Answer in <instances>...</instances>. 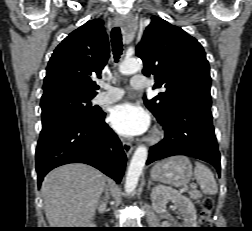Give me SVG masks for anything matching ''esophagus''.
Masks as SVG:
<instances>
[{"mask_svg":"<svg viewBox=\"0 0 252 231\" xmlns=\"http://www.w3.org/2000/svg\"><path fill=\"white\" fill-rule=\"evenodd\" d=\"M123 22H124V21H123V18L120 17V16H116V17L114 18V24H115L116 26H122V25H123ZM122 147H123V150H124V152H125V154H126L127 156H130L131 153L133 152V149H134L132 143L129 142V141H126V140H124V139H122Z\"/></svg>","mask_w":252,"mask_h":231,"instance_id":"esophagus-1","label":"esophagus"}]
</instances>
